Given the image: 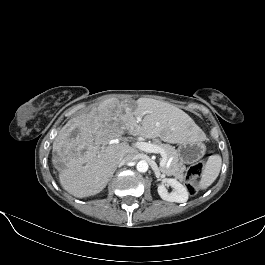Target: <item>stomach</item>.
Wrapping results in <instances>:
<instances>
[{
  "instance_id": "stomach-1",
  "label": "stomach",
  "mask_w": 265,
  "mask_h": 265,
  "mask_svg": "<svg viewBox=\"0 0 265 265\" xmlns=\"http://www.w3.org/2000/svg\"><path fill=\"white\" fill-rule=\"evenodd\" d=\"M205 146L200 141H185L179 144L177 154L180 162L184 164H192L203 157Z\"/></svg>"
}]
</instances>
